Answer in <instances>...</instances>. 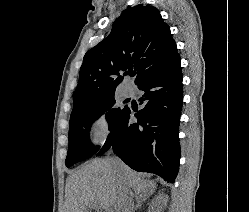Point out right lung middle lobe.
I'll return each instance as SVG.
<instances>
[{
  "instance_id": "right-lung-middle-lobe-1",
  "label": "right lung middle lobe",
  "mask_w": 249,
  "mask_h": 212,
  "mask_svg": "<svg viewBox=\"0 0 249 212\" xmlns=\"http://www.w3.org/2000/svg\"><path fill=\"white\" fill-rule=\"evenodd\" d=\"M114 95L106 97L96 103L72 110L69 126V146L65 164L67 167L88 159L98 152L90 142L89 131L91 124L106 113L109 130L118 122L126 111L124 108L114 107Z\"/></svg>"
}]
</instances>
